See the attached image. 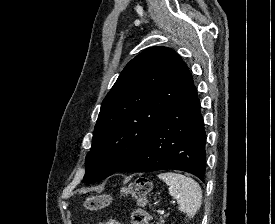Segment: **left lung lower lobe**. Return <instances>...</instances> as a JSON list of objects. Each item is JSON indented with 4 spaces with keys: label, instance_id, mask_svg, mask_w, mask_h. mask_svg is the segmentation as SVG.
<instances>
[{
    "label": "left lung lower lobe",
    "instance_id": "0a47b994",
    "mask_svg": "<svg viewBox=\"0 0 275 224\" xmlns=\"http://www.w3.org/2000/svg\"><path fill=\"white\" fill-rule=\"evenodd\" d=\"M205 145L204 121L192 83L154 127L128 171L175 169L204 182Z\"/></svg>",
    "mask_w": 275,
    "mask_h": 224
}]
</instances>
